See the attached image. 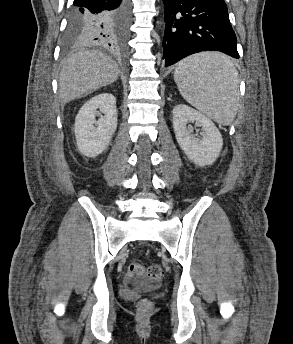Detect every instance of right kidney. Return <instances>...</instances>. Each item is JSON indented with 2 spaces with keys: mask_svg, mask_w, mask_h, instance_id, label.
<instances>
[{
  "mask_svg": "<svg viewBox=\"0 0 293 344\" xmlns=\"http://www.w3.org/2000/svg\"><path fill=\"white\" fill-rule=\"evenodd\" d=\"M99 109V110H98ZM99 117L98 120L95 117ZM117 128L116 98L110 93L94 96L81 107L75 119L78 150L95 158L110 144Z\"/></svg>",
  "mask_w": 293,
  "mask_h": 344,
  "instance_id": "obj_1",
  "label": "right kidney"
}]
</instances>
